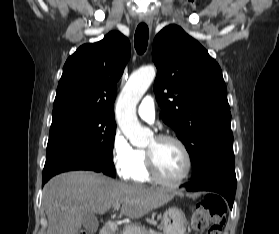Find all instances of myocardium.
<instances>
[{"instance_id": "myocardium-1", "label": "myocardium", "mask_w": 279, "mask_h": 234, "mask_svg": "<svg viewBox=\"0 0 279 234\" xmlns=\"http://www.w3.org/2000/svg\"><path fill=\"white\" fill-rule=\"evenodd\" d=\"M154 139L157 144H160L163 142H173L176 145H178V147L181 149V151L183 152V154L185 156L186 168H185L184 173L178 179L173 180V181L167 180L159 172L157 162H156L155 149H146L145 150L146 162H147V168H148V172H149L151 179L153 181H155L163 186H167V187H178V186L182 185L190 176L192 167H193L192 155H191L189 149L187 148L186 144L178 137H175L173 135H167V134L158 135Z\"/></svg>"}]
</instances>
